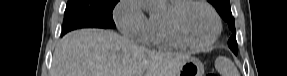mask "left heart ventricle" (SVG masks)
Returning a JSON list of instances; mask_svg holds the SVG:
<instances>
[{"mask_svg":"<svg viewBox=\"0 0 287 76\" xmlns=\"http://www.w3.org/2000/svg\"><path fill=\"white\" fill-rule=\"evenodd\" d=\"M179 26L184 36L193 43L206 42L215 31L212 15L199 5H189L182 11Z\"/></svg>","mask_w":287,"mask_h":76,"instance_id":"left-heart-ventricle-1","label":"left heart ventricle"}]
</instances>
